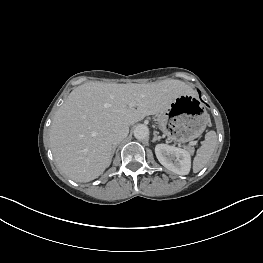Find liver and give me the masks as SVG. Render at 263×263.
Masks as SVG:
<instances>
[{
    "instance_id": "liver-1",
    "label": "liver",
    "mask_w": 263,
    "mask_h": 263,
    "mask_svg": "<svg viewBox=\"0 0 263 263\" xmlns=\"http://www.w3.org/2000/svg\"><path fill=\"white\" fill-rule=\"evenodd\" d=\"M190 93L187 84L172 79L148 84L90 81L76 87L51 124L56 163L76 182L96 179L111 163L115 145L110 135L116 127L161 113L177 97Z\"/></svg>"
}]
</instances>
